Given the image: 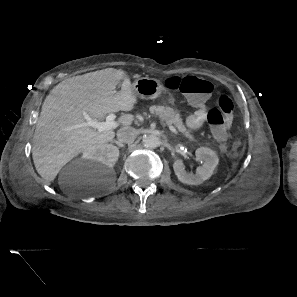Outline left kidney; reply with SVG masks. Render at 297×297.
I'll return each instance as SVG.
<instances>
[{
  "label": "left kidney",
  "mask_w": 297,
  "mask_h": 297,
  "mask_svg": "<svg viewBox=\"0 0 297 297\" xmlns=\"http://www.w3.org/2000/svg\"><path fill=\"white\" fill-rule=\"evenodd\" d=\"M195 155L198 160L203 161V165L196 169V174L186 172L181 159L174 161L173 170L180 182L188 185H199L211 177L218 165L219 158L210 148L200 147L196 150Z\"/></svg>",
  "instance_id": "5707ae66"
}]
</instances>
